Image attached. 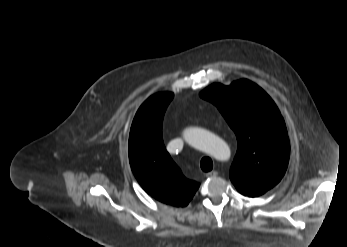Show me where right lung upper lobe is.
I'll list each match as a JSON object with an SVG mask.
<instances>
[{
	"mask_svg": "<svg viewBox=\"0 0 347 247\" xmlns=\"http://www.w3.org/2000/svg\"><path fill=\"white\" fill-rule=\"evenodd\" d=\"M173 98L169 92L149 97L138 109L129 135V161L141 187L155 199L172 206H186L199 184L184 177L166 151L162 121Z\"/></svg>",
	"mask_w": 347,
	"mask_h": 247,
	"instance_id": "obj_1",
	"label": "right lung upper lobe"
}]
</instances>
